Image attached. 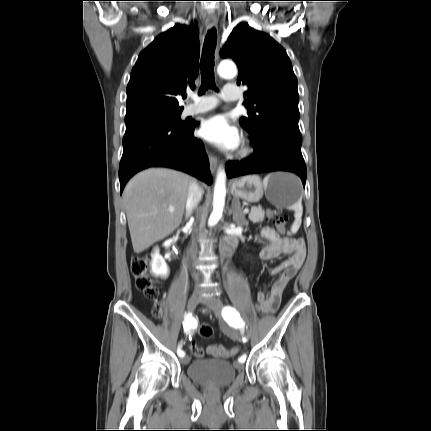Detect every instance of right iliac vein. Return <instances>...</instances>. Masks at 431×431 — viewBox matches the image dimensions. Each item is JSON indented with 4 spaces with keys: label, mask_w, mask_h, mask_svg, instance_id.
Returning <instances> with one entry per match:
<instances>
[{
    "label": "right iliac vein",
    "mask_w": 431,
    "mask_h": 431,
    "mask_svg": "<svg viewBox=\"0 0 431 431\" xmlns=\"http://www.w3.org/2000/svg\"><path fill=\"white\" fill-rule=\"evenodd\" d=\"M199 301H200V294L198 292H194L190 296L188 303H187L188 312H192L196 308V306L198 305ZM189 361H190V358L188 356H184L181 359V363L184 365L188 364Z\"/></svg>",
    "instance_id": "63e3f726"
}]
</instances>
